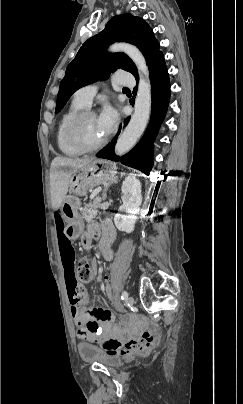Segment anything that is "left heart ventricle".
Listing matches in <instances>:
<instances>
[{"label": "left heart ventricle", "instance_id": "1", "mask_svg": "<svg viewBox=\"0 0 243 404\" xmlns=\"http://www.w3.org/2000/svg\"><path fill=\"white\" fill-rule=\"evenodd\" d=\"M78 137L89 145H94L105 137L101 134L97 116L85 118L76 129Z\"/></svg>", "mask_w": 243, "mask_h": 404}]
</instances>
